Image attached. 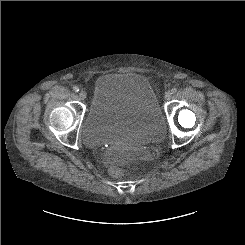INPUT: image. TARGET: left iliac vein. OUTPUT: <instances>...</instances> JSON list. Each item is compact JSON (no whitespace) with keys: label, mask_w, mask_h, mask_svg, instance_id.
I'll return each mask as SVG.
<instances>
[{"label":"left iliac vein","mask_w":245,"mask_h":245,"mask_svg":"<svg viewBox=\"0 0 245 245\" xmlns=\"http://www.w3.org/2000/svg\"><path fill=\"white\" fill-rule=\"evenodd\" d=\"M165 100H170L171 99V93L167 92L164 96Z\"/></svg>","instance_id":"obj_1"}]
</instances>
